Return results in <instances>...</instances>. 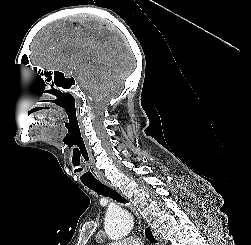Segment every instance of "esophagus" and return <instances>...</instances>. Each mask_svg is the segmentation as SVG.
I'll return each mask as SVG.
<instances>
[{
	"mask_svg": "<svg viewBox=\"0 0 251 245\" xmlns=\"http://www.w3.org/2000/svg\"><path fill=\"white\" fill-rule=\"evenodd\" d=\"M103 183L106 184L107 186L111 187V188H114V186L106 179H102ZM154 234V237L156 238V240L158 241V245H161V240L160 238L158 237L157 233L156 232H153Z\"/></svg>",
	"mask_w": 251,
	"mask_h": 245,
	"instance_id": "34e87169",
	"label": "esophagus"
}]
</instances>
